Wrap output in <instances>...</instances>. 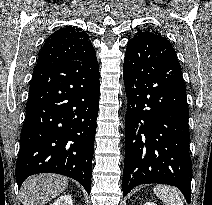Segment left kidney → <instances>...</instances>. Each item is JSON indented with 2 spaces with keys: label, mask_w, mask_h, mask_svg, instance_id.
I'll list each match as a JSON object with an SVG mask.
<instances>
[{
  "label": "left kidney",
  "mask_w": 212,
  "mask_h": 205,
  "mask_svg": "<svg viewBox=\"0 0 212 205\" xmlns=\"http://www.w3.org/2000/svg\"><path fill=\"white\" fill-rule=\"evenodd\" d=\"M144 205H157V204L153 202H146Z\"/></svg>",
  "instance_id": "obj_1"
}]
</instances>
